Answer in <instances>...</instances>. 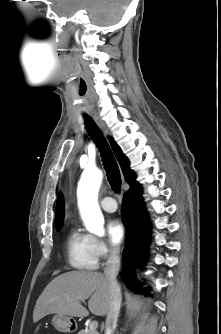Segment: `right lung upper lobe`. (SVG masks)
Masks as SVG:
<instances>
[{
	"label": "right lung upper lobe",
	"mask_w": 221,
	"mask_h": 334,
	"mask_svg": "<svg viewBox=\"0 0 221 334\" xmlns=\"http://www.w3.org/2000/svg\"><path fill=\"white\" fill-rule=\"evenodd\" d=\"M113 151L115 153V156L122 168L123 174L125 179L128 181V183L131 185L135 184V176L133 174V171L129 167V161L125 157V155L122 153V150L120 147L116 144V142L113 139H110ZM63 222V199L61 195H59L57 204H56V213H55V224L56 228L62 226Z\"/></svg>",
	"instance_id": "right-lung-upper-lobe-1"
}]
</instances>
